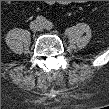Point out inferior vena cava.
Returning <instances> with one entry per match:
<instances>
[{
	"label": "inferior vena cava",
	"instance_id": "1",
	"mask_svg": "<svg viewBox=\"0 0 109 109\" xmlns=\"http://www.w3.org/2000/svg\"><path fill=\"white\" fill-rule=\"evenodd\" d=\"M30 28L33 30V31H41L43 29L42 25L36 23V22H32L31 25H30Z\"/></svg>",
	"mask_w": 109,
	"mask_h": 109
}]
</instances>
